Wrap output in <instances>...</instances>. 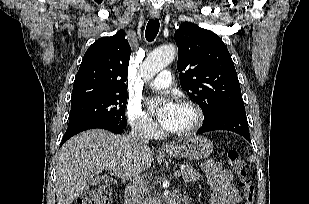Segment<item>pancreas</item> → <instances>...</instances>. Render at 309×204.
I'll return each instance as SVG.
<instances>
[{
  "label": "pancreas",
  "mask_w": 309,
  "mask_h": 204,
  "mask_svg": "<svg viewBox=\"0 0 309 204\" xmlns=\"http://www.w3.org/2000/svg\"><path fill=\"white\" fill-rule=\"evenodd\" d=\"M179 172L182 175V179L186 182H193L200 178V174L190 165L179 170Z\"/></svg>",
  "instance_id": "1"
}]
</instances>
